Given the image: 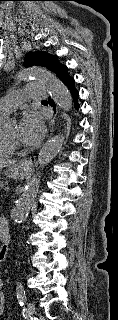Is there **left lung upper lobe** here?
I'll return each mask as SVG.
<instances>
[{"label": "left lung upper lobe", "instance_id": "obj_1", "mask_svg": "<svg viewBox=\"0 0 118 320\" xmlns=\"http://www.w3.org/2000/svg\"><path fill=\"white\" fill-rule=\"evenodd\" d=\"M23 65L25 67L34 65L46 67L47 69L55 72L59 78H61L67 72V67L59 63L56 55H49L42 51L29 52L25 56Z\"/></svg>", "mask_w": 118, "mask_h": 320}]
</instances>
